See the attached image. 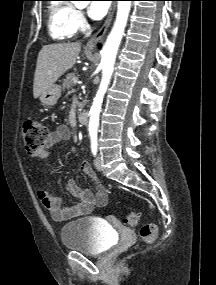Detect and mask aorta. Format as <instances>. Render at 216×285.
<instances>
[{
	"instance_id": "obj_1",
	"label": "aorta",
	"mask_w": 216,
	"mask_h": 285,
	"mask_svg": "<svg viewBox=\"0 0 216 285\" xmlns=\"http://www.w3.org/2000/svg\"><path fill=\"white\" fill-rule=\"evenodd\" d=\"M77 3H82V2L77 1ZM130 9H131V1H118L117 16L114 26L101 51L102 58L100 65L102 68V79L90 110V121H89L90 134H96L98 130L99 115H100L103 97L106 93L108 84L110 82L113 73L118 47L124 35V30L127 24Z\"/></svg>"
}]
</instances>
